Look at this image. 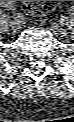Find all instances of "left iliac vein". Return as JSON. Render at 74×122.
Returning <instances> with one entry per match:
<instances>
[{"instance_id": "1", "label": "left iliac vein", "mask_w": 74, "mask_h": 122, "mask_svg": "<svg viewBox=\"0 0 74 122\" xmlns=\"http://www.w3.org/2000/svg\"><path fill=\"white\" fill-rule=\"evenodd\" d=\"M62 19V20H61ZM60 19V23L61 24H66L67 23V17H62ZM52 30L55 32V34L56 35H58V36H66V34H67V31H66V29H64V28H62V27H60V26H58V25H56V26H53L52 27Z\"/></svg>"}]
</instances>
